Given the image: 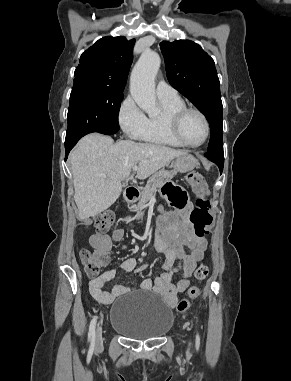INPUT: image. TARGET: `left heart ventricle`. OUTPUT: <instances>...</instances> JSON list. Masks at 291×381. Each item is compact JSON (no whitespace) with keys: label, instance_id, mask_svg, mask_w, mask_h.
Masks as SVG:
<instances>
[{"label":"left heart ventricle","instance_id":"left-heart-ventricle-1","mask_svg":"<svg viewBox=\"0 0 291 381\" xmlns=\"http://www.w3.org/2000/svg\"><path fill=\"white\" fill-rule=\"evenodd\" d=\"M183 138L190 144H198L205 135V125L202 118L196 113L186 114L180 124Z\"/></svg>","mask_w":291,"mask_h":381}]
</instances>
